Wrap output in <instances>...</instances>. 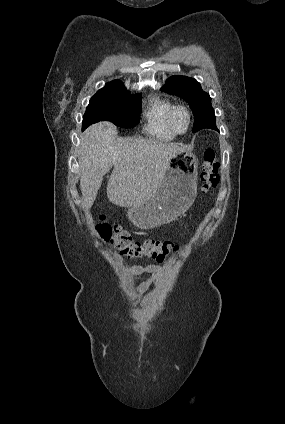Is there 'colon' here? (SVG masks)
Here are the masks:
<instances>
[{
	"instance_id": "obj_1",
	"label": "colon",
	"mask_w": 285,
	"mask_h": 424,
	"mask_svg": "<svg viewBox=\"0 0 285 424\" xmlns=\"http://www.w3.org/2000/svg\"><path fill=\"white\" fill-rule=\"evenodd\" d=\"M200 180L203 193L212 191L218 185L219 162L211 148L204 151ZM96 230L105 241L110 242L119 251L122 257L128 259L148 257L163 262L179 250L178 245L170 241L157 239L136 241L121 226L112 225L104 219L96 225Z\"/></svg>"
}]
</instances>
